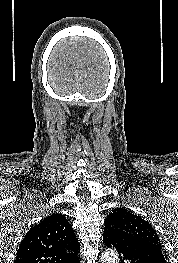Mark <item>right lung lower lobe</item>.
<instances>
[{
  "label": "right lung lower lobe",
  "instance_id": "98d812e1",
  "mask_svg": "<svg viewBox=\"0 0 178 263\" xmlns=\"http://www.w3.org/2000/svg\"><path fill=\"white\" fill-rule=\"evenodd\" d=\"M80 262V257L79 256H76L72 261L71 263H79Z\"/></svg>",
  "mask_w": 178,
  "mask_h": 263
}]
</instances>
